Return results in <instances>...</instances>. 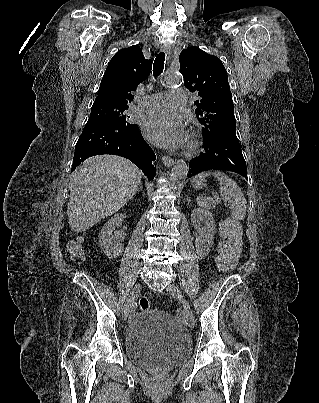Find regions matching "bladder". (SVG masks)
Instances as JSON below:
<instances>
[{
  "label": "bladder",
  "mask_w": 319,
  "mask_h": 403,
  "mask_svg": "<svg viewBox=\"0 0 319 403\" xmlns=\"http://www.w3.org/2000/svg\"><path fill=\"white\" fill-rule=\"evenodd\" d=\"M126 355L136 365L152 370H168L185 361L192 342L170 314L148 310L134 317L125 333Z\"/></svg>",
  "instance_id": "obj_1"
}]
</instances>
